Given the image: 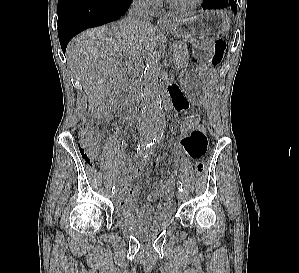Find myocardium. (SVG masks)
I'll list each match as a JSON object with an SVG mask.
<instances>
[{
	"mask_svg": "<svg viewBox=\"0 0 299 273\" xmlns=\"http://www.w3.org/2000/svg\"><path fill=\"white\" fill-rule=\"evenodd\" d=\"M168 7L176 12V13H182V14H187V13H191L193 12L194 10H196L200 4L202 3V0H193L189 5H186V6H179L175 3H173L172 1L170 0H165Z\"/></svg>",
	"mask_w": 299,
	"mask_h": 273,
	"instance_id": "f54148a6",
	"label": "myocardium"
}]
</instances>
